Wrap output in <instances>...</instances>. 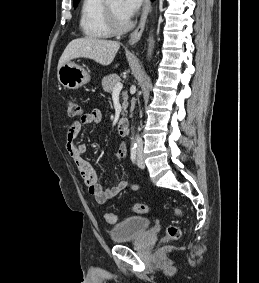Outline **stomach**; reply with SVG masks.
I'll list each match as a JSON object with an SVG mask.
<instances>
[{
    "instance_id": "0dacf381",
    "label": "stomach",
    "mask_w": 259,
    "mask_h": 283,
    "mask_svg": "<svg viewBox=\"0 0 259 283\" xmlns=\"http://www.w3.org/2000/svg\"><path fill=\"white\" fill-rule=\"evenodd\" d=\"M57 77L59 83L68 89H78L90 81V74L72 61L58 69Z\"/></svg>"
}]
</instances>
